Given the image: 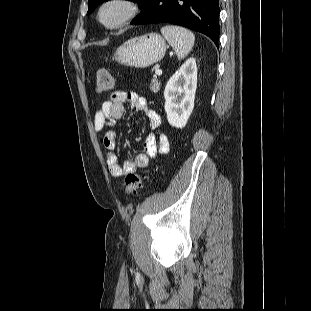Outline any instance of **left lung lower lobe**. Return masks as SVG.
Returning <instances> with one entry per match:
<instances>
[{
	"label": "left lung lower lobe",
	"mask_w": 311,
	"mask_h": 311,
	"mask_svg": "<svg viewBox=\"0 0 311 311\" xmlns=\"http://www.w3.org/2000/svg\"><path fill=\"white\" fill-rule=\"evenodd\" d=\"M131 24L171 23L207 35L218 44L219 0H146Z\"/></svg>",
	"instance_id": "left-lung-lower-lobe-1"
}]
</instances>
